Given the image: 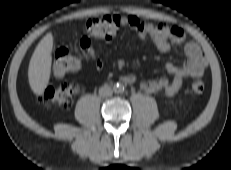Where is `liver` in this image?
<instances>
[{
	"label": "liver",
	"mask_w": 231,
	"mask_h": 170,
	"mask_svg": "<svg viewBox=\"0 0 231 170\" xmlns=\"http://www.w3.org/2000/svg\"><path fill=\"white\" fill-rule=\"evenodd\" d=\"M52 50L53 35L47 33L38 43L28 68L29 84L36 95H41L48 86L51 74Z\"/></svg>",
	"instance_id": "liver-1"
}]
</instances>
